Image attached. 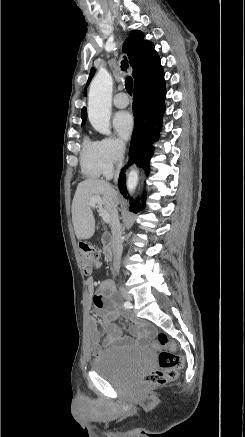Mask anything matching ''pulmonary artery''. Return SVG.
<instances>
[{"mask_svg": "<svg viewBox=\"0 0 245 437\" xmlns=\"http://www.w3.org/2000/svg\"><path fill=\"white\" fill-rule=\"evenodd\" d=\"M113 104L117 108H125L129 105V99L125 93L121 92L115 95Z\"/></svg>", "mask_w": 245, "mask_h": 437, "instance_id": "obj_1", "label": "pulmonary artery"}]
</instances>
